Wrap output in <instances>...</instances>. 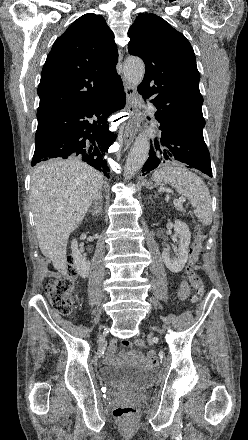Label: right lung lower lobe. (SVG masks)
<instances>
[{"mask_svg": "<svg viewBox=\"0 0 248 440\" xmlns=\"http://www.w3.org/2000/svg\"><path fill=\"white\" fill-rule=\"evenodd\" d=\"M121 78L102 97L72 104L38 120L31 166L51 158H77L109 177L104 159L116 135L107 117L125 106Z\"/></svg>", "mask_w": 248, "mask_h": 440, "instance_id": "obj_1", "label": "right lung lower lobe"}]
</instances>
